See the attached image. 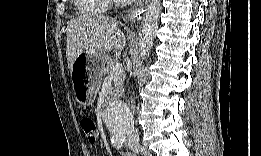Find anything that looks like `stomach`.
Wrapping results in <instances>:
<instances>
[{
    "instance_id": "1",
    "label": "stomach",
    "mask_w": 261,
    "mask_h": 156,
    "mask_svg": "<svg viewBox=\"0 0 261 156\" xmlns=\"http://www.w3.org/2000/svg\"><path fill=\"white\" fill-rule=\"evenodd\" d=\"M84 60L82 65L80 60ZM108 56L104 54H80L71 72L72 86L76 100L84 105H92L95 101L101 83V69L106 64Z\"/></svg>"
}]
</instances>
